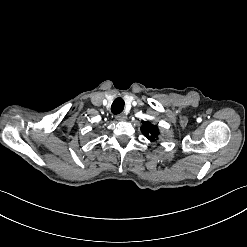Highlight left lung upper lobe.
Instances as JSON below:
<instances>
[{"label":"left lung upper lobe","mask_w":247,"mask_h":247,"mask_svg":"<svg viewBox=\"0 0 247 247\" xmlns=\"http://www.w3.org/2000/svg\"><path fill=\"white\" fill-rule=\"evenodd\" d=\"M141 131L145 137H147L151 142L155 141L159 134L157 126L152 125L150 122H143Z\"/></svg>","instance_id":"obj_1"}]
</instances>
